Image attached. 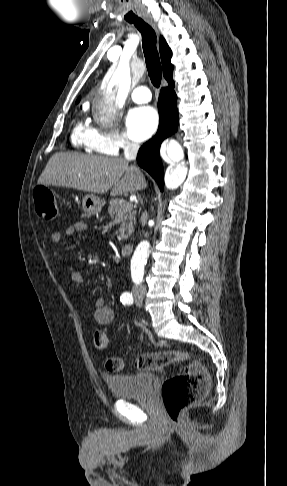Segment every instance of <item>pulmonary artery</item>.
<instances>
[{
	"label": "pulmonary artery",
	"mask_w": 287,
	"mask_h": 486,
	"mask_svg": "<svg viewBox=\"0 0 287 486\" xmlns=\"http://www.w3.org/2000/svg\"><path fill=\"white\" fill-rule=\"evenodd\" d=\"M130 96L136 103H147L151 100V93L146 86H138L134 88Z\"/></svg>",
	"instance_id": "obj_1"
}]
</instances>
